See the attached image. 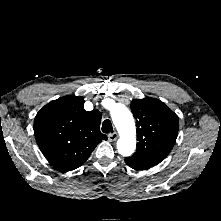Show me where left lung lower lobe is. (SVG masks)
<instances>
[{
    "label": "left lung lower lobe",
    "instance_id": "1",
    "mask_svg": "<svg viewBox=\"0 0 221 221\" xmlns=\"http://www.w3.org/2000/svg\"><path fill=\"white\" fill-rule=\"evenodd\" d=\"M125 162H126V161H125ZM126 164H127L128 166H130L131 168L135 169V170H146V169H149V168H144V167H141V166H137V165H135V164H131V163H128V162H126Z\"/></svg>",
    "mask_w": 221,
    "mask_h": 221
}]
</instances>
